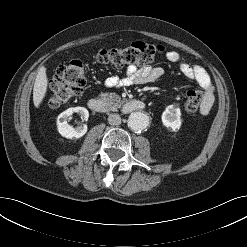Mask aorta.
<instances>
[{
  "mask_svg": "<svg viewBox=\"0 0 247 247\" xmlns=\"http://www.w3.org/2000/svg\"><path fill=\"white\" fill-rule=\"evenodd\" d=\"M128 126L136 132L142 131L149 125V117L142 112H133L128 117Z\"/></svg>",
  "mask_w": 247,
  "mask_h": 247,
  "instance_id": "1",
  "label": "aorta"
}]
</instances>
